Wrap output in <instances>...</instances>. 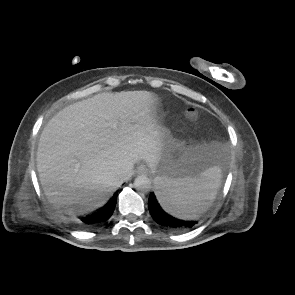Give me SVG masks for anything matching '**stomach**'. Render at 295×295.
Wrapping results in <instances>:
<instances>
[{
  "label": "stomach",
  "mask_w": 295,
  "mask_h": 295,
  "mask_svg": "<svg viewBox=\"0 0 295 295\" xmlns=\"http://www.w3.org/2000/svg\"><path fill=\"white\" fill-rule=\"evenodd\" d=\"M164 128L163 146L155 168H151L157 177L182 179L199 178L211 167L208 149L204 145H186L173 138L171 132Z\"/></svg>",
  "instance_id": "obj_1"
}]
</instances>
